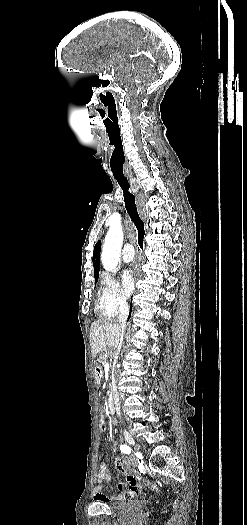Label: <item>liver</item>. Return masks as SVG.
<instances>
[{"mask_svg":"<svg viewBox=\"0 0 247 525\" xmlns=\"http://www.w3.org/2000/svg\"><path fill=\"white\" fill-rule=\"evenodd\" d=\"M91 339L95 341L92 351L93 357L107 347L117 349V343L122 337V329L116 319H101L91 325Z\"/></svg>","mask_w":247,"mask_h":525,"instance_id":"1","label":"liver"}]
</instances>
